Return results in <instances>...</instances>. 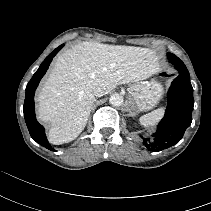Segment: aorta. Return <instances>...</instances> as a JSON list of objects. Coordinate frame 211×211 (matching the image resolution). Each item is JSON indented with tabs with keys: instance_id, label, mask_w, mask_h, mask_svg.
Masks as SVG:
<instances>
[{
	"instance_id": "1",
	"label": "aorta",
	"mask_w": 211,
	"mask_h": 211,
	"mask_svg": "<svg viewBox=\"0 0 211 211\" xmlns=\"http://www.w3.org/2000/svg\"><path fill=\"white\" fill-rule=\"evenodd\" d=\"M109 102L113 106H121L123 104V97L119 94L111 95Z\"/></svg>"
}]
</instances>
